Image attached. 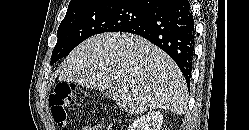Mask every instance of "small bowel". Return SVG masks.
<instances>
[{"instance_id": "1", "label": "small bowel", "mask_w": 249, "mask_h": 130, "mask_svg": "<svg viewBox=\"0 0 249 130\" xmlns=\"http://www.w3.org/2000/svg\"><path fill=\"white\" fill-rule=\"evenodd\" d=\"M82 130H103V126L100 124L85 126Z\"/></svg>"}]
</instances>
